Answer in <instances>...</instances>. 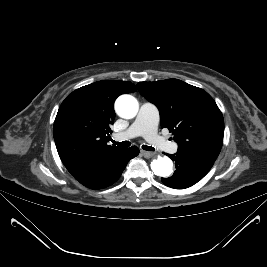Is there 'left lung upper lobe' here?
<instances>
[{
	"label": "left lung upper lobe",
	"instance_id": "left-lung-upper-lobe-1",
	"mask_svg": "<svg viewBox=\"0 0 267 267\" xmlns=\"http://www.w3.org/2000/svg\"><path fill=\"white\" fill-rule=\"evenodd\" d=\"M138 90L160 112L178 150L216 160L224 135V120L213 98L204 90L178 79L140 82Z\"/></svg>",
	"mask_w": 267,
	"mask_h": 267
}]
</instances>
